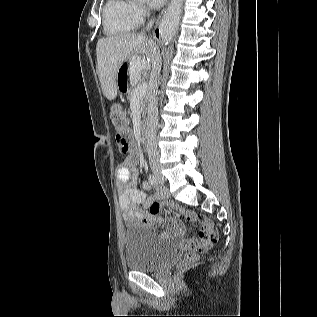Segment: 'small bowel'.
<instances>
[{
	"label": "small bowel",
	"instance_id": "c3829d8e",
	"mask_svg": "<svg viewBox=\"0 0 317 317\" xmlns=\"http://www.w3.org/2000/svg\"><path fill=\"white\" fill-rule=\"evenodd\" d=\"M119 205L122 211L123 219L127 224H142L149 228H155L161 224V218L150 214L148 211L153 198L146 195L143 191L137 188V174L128 162L118 166L116 171ZM151 185L148 183L142 184V189H150ZM166 196V191L159 189L156 194V199H163ZM188 220L197 222L201 231L212 227L211 223L206 219L198 216L193 212H186ZM171 230L176 235L184 236L186 234L185 227L174 218L168 220V229L162 233V236L168 238L171 236Z\"/></svg>",
	"mask_w": 317,
	"mask_h": 317
}]
</instances>
